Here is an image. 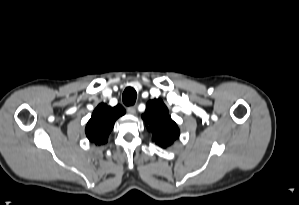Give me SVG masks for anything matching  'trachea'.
Returning <instances> with one entry per match:
<instances>
[{"instance_id": "1", "label": "trachea", "mask_w": 299, "mask_h": 205, "mask_svg": "<svg viewBox=\"0 0 299 205\" xmlns=\"http://www.w3.org/2000/svg\"><path fill=\"white\" fill-rule=\"evenodd\" d=\"M137 98V92L133 87H127L123 92V103L126 106H132L135 104Z\"/></svg>"}]
</instances>
